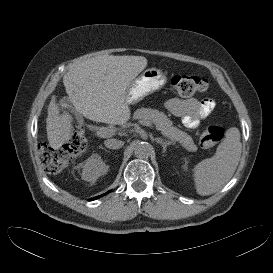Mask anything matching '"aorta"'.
I'll return each mask as SVG.
<instances>
[{
  "label": "aorta",
  "instance_id": "1",
  "mask_svg": "<svg viewBox=\"0 0 273 273\" xmlns=\"http://www.w3.org/2000/svg\"><path fill=\"white\" fill-rule=\"evenodd\" d=\"M152 146L147 142H137L134 146V154L136 157L144 159L151 154Z\"/></svg>",
  "mask_w": 273,
  "mask_h": 273
}]
</instances>
